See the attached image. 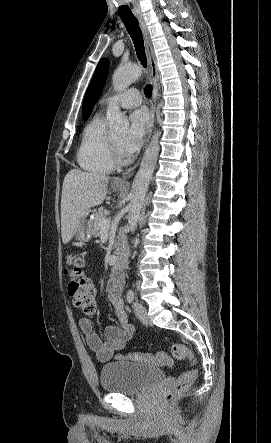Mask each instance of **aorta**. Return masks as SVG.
Segmentation results:
<instances>
[{
	"instance_id": "762f6f07",
	"label": "aorta",
	"mask_w": 271,
	"mask_h": 443,
	"mask_svg": "<svg viewBox=\"0 0 271 443\" xmlns=\"http://www.w3.org/2000/svg\"><path fill=\"white\" fill-rule=\"evenodd\" d=\"M142 74L140 66H118L112 78V86L115 92H123L132 82H135ZM109 128L114 132H125L129 128L127 116L120 112L118 106L109 108L106 114ZM159 134L156 132L145 150L140 168L134 178L130 194V204L128 206V223L130 231H136L137 223L140 220L143 204L145 202L148 186L152 180L154 168L159 156Z\"/></svg>"
}]
</instances>
